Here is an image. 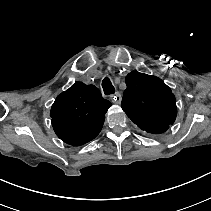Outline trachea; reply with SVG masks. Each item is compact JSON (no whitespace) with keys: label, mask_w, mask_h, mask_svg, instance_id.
I'll list each match as a JSON object with an SVG mask.
<instances>
[{"label":"trachea","mask_w":211,"mask_h":211,"mask_svg":"<svg viewBox=\"0 0 211 211\" xmlns=\"http://www.w3.org/2000/svg\"><path fill=\"white\" fill-rule=\"evenodd\" d=\"M102 87L104 90V94L105 95H111L115 93V88L112 85L110 79L108 77H106L103 81H102Z\"/></svg>","instance_id":"trachea-1"}]
</instances>
